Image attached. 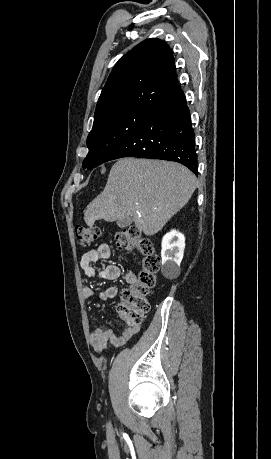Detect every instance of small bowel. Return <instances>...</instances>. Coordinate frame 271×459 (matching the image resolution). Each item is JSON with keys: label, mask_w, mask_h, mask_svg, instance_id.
Masks as SVG:
<instances>
[{"label": "small bowel", "mask_w": 271, "mask_h": 459, "mask_svg": "<svg viewBox=\"0 0 271 459\" xmlns=\"http://www.w3.org/2000/svg\"><path fill=\"white\" fill-rule=\"evenodd\" d=\"M111 256V248L108 244H100L96 249H92L84 253L80 259V267L88 277L101 278L105 280H117L121 274V268L115 264L104 266L97 270L94 263L100 260H106ZM125 280L129 284H134L137 281V276L132 271H126L124 274ZM118 294L116 286H109L104 291L99 293L101 300L113 299ZM83 297L90 300L95 297V292L90 287L83 288ZM140 330L139 325L128 326L122 329L121 335H117L111 328H96L90 335V344L98 353L107 351V344L111 342L114 346L120 347L133 338Z\"/></svg>", "instance_id": "c3829d8e"}]
</instances>
